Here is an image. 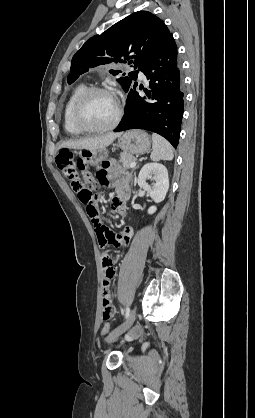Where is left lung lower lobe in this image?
<instances>
[{
  "instance_id": "left-lung-lower-lobe-1",
  "label": "left lung lower lobe",
  "mask_w": 255,
  "mask_h": 418,
  "mask_svg": "<svg viewBox=\"0 0 255 418\" xmlns=\"http://www.w3.org/2000/svg\"><path fill=\"white\" fill-rule=\"evenodd\" d=\"M139 70L149 80L151 90H145L147 96L142 98L135 91V83L134 87L129 88L125 115L114 131H153L176 147L183 116L184 93L181 62L174 38L141 65Z\"/></svg>"
}]
</instances>
